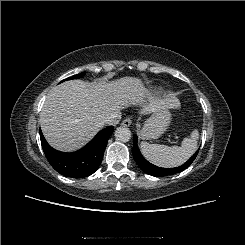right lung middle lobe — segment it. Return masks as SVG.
<instances>
[{"instance_id": "obj_1", "label": "right lung middle lobe", "mask_w": 245, "mask_h": 245, "mask_svg": "<svg viewBox=\"0 0 245 245\" xmlns=\"http://www.w3.org/2000/svg\"><path fill=\"white\" fill-rule=\"evenodd\" d=\"M84 75H85V72H82L81 74L75 75V76L70 77V78H67V79H65V80H69V79H78V78H81V77L84 76ZM65 80H64V81H65Z\"/></svg>"}]
</instances>
